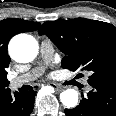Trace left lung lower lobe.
<instances>
[{
    "label": "left lung lower lobe",
    "instance_id": "0a47b994",
    "mask_svg": "<svg viewBox=\"0 0 116 116\" xmlns=\"http://www.w3.org/2000/svg\"><path fill=\"white\" fill-rule=\"evenodd\" d=\"M93 90L73 109H65L66 116H116V84H91Z\"/></svg>",
    "mask_w": 116,
    "mask_h": 116
}]
</instances>
